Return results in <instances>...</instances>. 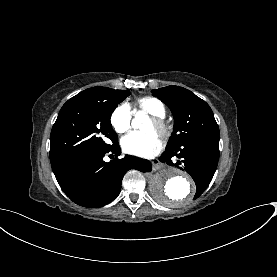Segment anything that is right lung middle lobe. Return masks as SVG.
Masks as SVG:
<instances>
[{
	"label": "right lung middle lobe",
	"instance_id": "dd1d6c3e",
	"mask_svg": "<svg viewBox=\"0 0 277 277\" xmlns=\"http://www.w3.org/2000/svg\"><path fill=\"white\" fill-rule=\"evenodd\" d=\"M129 91L106 94L81 92L61 108L50 135V161L86 151H102L118 144L110 117ZM112 143V144H108Z\"/></svg>",
	"mask_w": 277,
	"mask_h": 277
}]
</instances>
